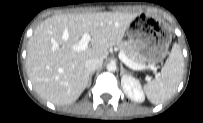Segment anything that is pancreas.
I'll return each instance as SVG.
<instances>
[{
    "instance_id": "1",
    "label": "pancreas",
    "mask_w": 203,
    "mask_h": 123,
    "mask_svg": "<svg viewBox=\"0 0 203 123\" xmlns=\"http://www.w3.org/2000/svg\"><path fill=\"white\" fill-rule=\"evenodd\" d=\"M118 49L123 52L128 59L137 64H142L143 61L138 53L136 47L128 41L121 42L117 45Z\"/></svg>"
}]
</instances>
